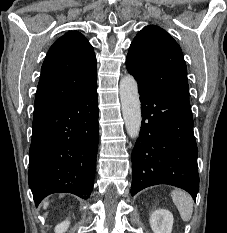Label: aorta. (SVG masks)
Instances as JSON below:
<instances>
[{"label":"aorta","instance_id":"obj_1","mask_svg":"<svg viewBox=\"0 0 227 233\" xmlns=\"http://www.w3.org/2000/svg\"><path fill=\"white\" fill-rule=\"evenodd\" d=\"M120 100L127 133L132 139L137 138L142 121L141 103L137 82L131 75H125L120 80Z\"/></svg>","mask_w":227,"mask_h":233}]
</instances>
